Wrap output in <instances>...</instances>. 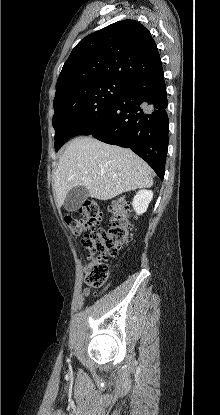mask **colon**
Segmentation results:
<instances>
[{
  "mask_svg": "<svg viewBox=\"0 0 220 415\" xmlns=\"http://www.w3.org/2000/svg\"><path fill=\"white\" fill-rule=\"evenodd\" d=\"M111 222L106 229L98 228L102 210L98 202L88 200L78 214L65 216L68 230L74 235H83L82 244L90 257L85 268V283L94 288H104L110 278L109 257L118 255L120 248L129 242L136 229L128 202L117 198L111 202Z\"/></svg>",
  "mask_w": 220,
  "mask_h": 415,
  "instance_id": "5ec220e1",
  "label": "colon"
}]
</instances>
